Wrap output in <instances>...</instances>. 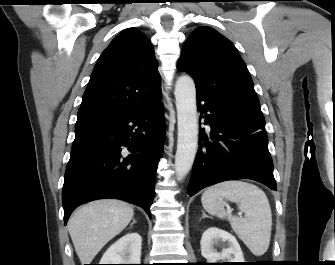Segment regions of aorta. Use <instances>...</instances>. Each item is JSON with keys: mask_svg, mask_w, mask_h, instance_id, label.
I'll use <instances>...</instances> for the list:
<instances>
[{"mask_svg": "<svg viewBox=\"0 0 335 265\" xmlns=\"http://www.w3.org/2000/svg\"><path fill=\"white\" fill-rule=\"evenodd\" d=\"M175 98L178 121L175 171L177 178L183 179L192 168L198 146L196 89L190 76L183 75L177 79Z\"/></svg>", "mask_w": 335, "mask_h": 265, "instance_id": "1", "label": "aorta"}]
</instances>
